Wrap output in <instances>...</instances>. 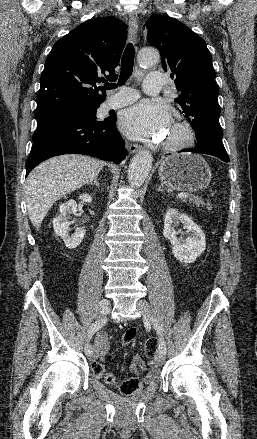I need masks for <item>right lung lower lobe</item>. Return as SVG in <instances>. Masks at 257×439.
<instances>
[{"label":"right lung lower lobe","mask_w":257,"mask_h":439,"mask_svg":"<svg viewBox=\"0 0 257 439\" xmlns=\"http://www.w3.org/2000/svg\"><path fill=\"white\" fill-rule=\"evenodd\" d=\"M26 176L42 161L62 154H84L119 164L127 150L116 129V116L98 120L93 113L66 112L37 120Z\"/></svg>","instance_id":"98d812e1"}]
</instances>
